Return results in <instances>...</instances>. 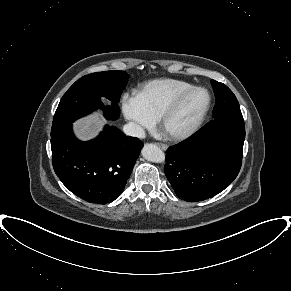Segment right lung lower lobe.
<instances>
[{"label": "right lung lower lobe", "instance_id": "right-lung-lower-lobe-1", "mask_svg": "<svg viewBox=\"0 0 291 291\" xmlns=\"http://www.w3.org/2000/svg\"><path fill=\"white\" fill-rule=\"evenodd\" d=\"M142 146L109 125L97 138L81 142L70 125L51 136L53 168L73 194L106 204L123 192Z\"/></svg>", "mask_w": 291, "mask_h": 291}]
</instances>
